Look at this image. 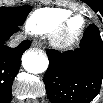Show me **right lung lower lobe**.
<instances>
[{"instance_id":"right-lung-lower-lobe-1","label":"right lung lower lobe","mask_w":103,"mask_h":103,"mask_svg":"<svg viewBox=\"0 0 103 103\" xmlns=\"http://www.w3.org/2000/svg\"><path fill=\"white\" fill-rule=\"evenodd\" d=\"M19 30V26L0 25V100L8 102L11 99V88L14 78L19 72L20 58L30 47L29 40L23 41L19 46L10 48L5 42L12 34Z\"/></svg>"}]
</instances>
